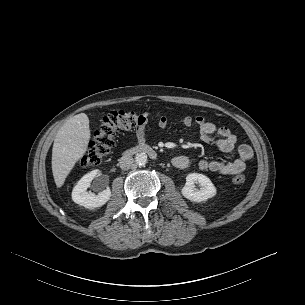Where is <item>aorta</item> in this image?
Segmentation results:
<instances>
[{"label":"aorta","mask_w":305,"mask_h":305,"mask_svg":"<svg viewBox=\"0 0 305 305\" xmlns=\"http://www.w3.org/2000/svg\"><path fill=\"white\" fill-rule=\"evenodd\" d=\"M135 162L139 166L145 165L147 163V155L145 153H143V152L137 153L135 155Z\"/></svg>","instance_id":"1"}]
</instances>
